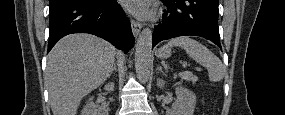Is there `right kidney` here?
<instances>
[{
  "label": "right kidney",
  "instance_id": "ca27d5eb",
  "mask_svg": "<svg viewBox=\"0 0 285 115\" xmlns=\"http://www.w3.org/2000/svg\"><path fill=\"white\" fill-rule=\"evenodd\" d=\"M105 90L108 92H112L114 90V84L111 82L105 85ZM92 100V97L89 98L87 104L82 110V115H107L106 110L103 107L93 103Z\"/></svg>",
  "mask_w": 285,
  "mask_h": 115
}]
</instances>
